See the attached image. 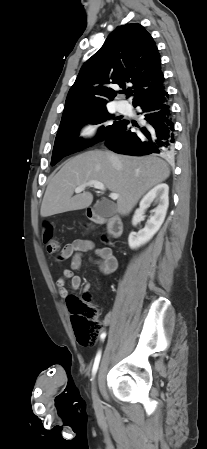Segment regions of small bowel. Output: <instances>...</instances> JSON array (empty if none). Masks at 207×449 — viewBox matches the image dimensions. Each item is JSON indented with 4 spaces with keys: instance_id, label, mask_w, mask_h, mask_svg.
Returning <instances> with one entry per match:
<instances>
[{
    "instance_id": "small-bowel-1",
    "label": "small bowel",
    "mask_w": 207,
    "mask_h": 449,
    "mask_svg": "<svg viewBox=\"0 0 207 449\" xmlns=\"http://www.w3.org/2000/svg\"><path fill=\"white\" fill-rule=\"evenodd\" d=\"M91 251L94 252L95 255L92 262L99 267L104 275H110L116 271L118 261L110 248L96 247L90 239H75L73 242L66 244L60 251L62 259L71 258L70 268L64 269L56 282L59 296L63 300H66L69 297V290L66 287L68 281L70 282L72 290H78L80 288L82 280L79 275L75 274V272L79 270L82 265L83 255ZM86 290H89V286H86ZM103 323L105 325H110V313L104 316Z\"/></svg>"
}]
</instances>
